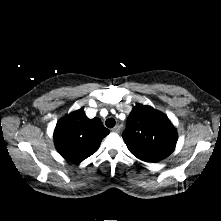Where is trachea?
Listing matches in <instances>:
<instances>
[{"instance_id":"trachea-1","label":"trachea","mask_w":221,"mask_h":221,"mask_svg":"<svg viewBox=\"0 0 221 221\" xmlns=\"http://www.w3.org/2000/svg\"><path fill=\"white\" fill-rule=\"evenodd\" d=\"M105 124L108 128H113L116 124L115 120L113 118H108L106 121H105Z\"/></svg>"}]
</instances>
